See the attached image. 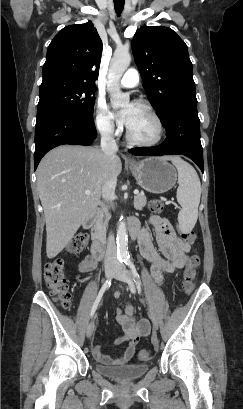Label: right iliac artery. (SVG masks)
I'll return each mask as SVG.
<instances>
[{
	"mask_svg": "<svg viewBox=\"0 0 243 409\" xmlns=\"http://www.w3.org/2000/svg\"><path fill=\"white\" fill-rule=\"evenodd\" d=\"M122 261H123V260H119V263H122ZM110 285H111V280H107V281L103 284V286L101 287V289H100V291H99V293H98V296H97V298H96V300H95V302H94V304H93V306H92L91 314H90L91 317H93V315L95 314L96 309H97V307H98V305H99V302H100V300H101V298H102L104 292L106 291V289H107L108 287H110Z\"/></svg>",
	"mask_w": 243,
	"mask_h": 409,
	"instance_id": "right-iliac-artery-1",
	"label": "right iliac artery"
}]
</instances>
